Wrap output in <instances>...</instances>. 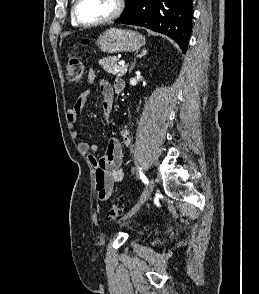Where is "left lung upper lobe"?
<instances>
[{
  "mask_svg": "<svg viewBox=\"0 0 259 294\" xmlns=\"http://www.w3.org/2000/svg\"><path fill=\"white\" fill-rule=\"evenodd\" d=\"M133 7V0H126V8L123 14L129 12Z\"/></svg>",
  "mask_w": 259,
  "mask_h": 294,
  "instance_id": "1",
  "label": "left lung upper lobe"
}]
</instances>
